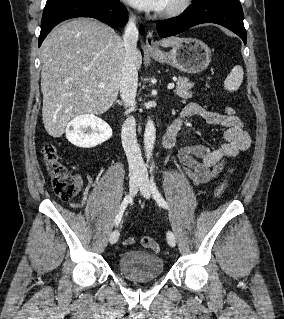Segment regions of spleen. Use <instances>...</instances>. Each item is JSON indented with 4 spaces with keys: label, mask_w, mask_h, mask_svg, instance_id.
Segmentation results:
<instances>
[{
    "label": "spleen",
    "mask_w": 284,
    "mask_h": 319,
    "mask_svg": "<svg viewBox=\"0 0 284 319\" xmlns=\"http://www.w3.org/2000/svg\"><path fill=\"white\" fill-rule=\"evenodd\" d=\"M243 69L240 65H236L226 77L224 88L230 92L236 91L243 81Z\"/></svg>",
    "instance_id": "1"
}]
</instances>
